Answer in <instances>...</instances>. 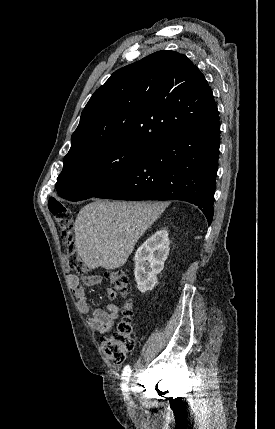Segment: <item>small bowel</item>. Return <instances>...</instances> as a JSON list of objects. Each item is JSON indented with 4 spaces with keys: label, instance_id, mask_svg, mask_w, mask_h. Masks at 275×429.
I'll use <instances>...</instances> for the list:
<instances>
[{
    "label": "small bowel",
    "instance_id": "obj_1",
    "mask_svg": "<svg viewBox=\"0 0 275 429\" xmlns=\"http://www.w3.org/2000/svg\"><path fill=\"white\" fill-rule=\"evenodd\" d=\"M68 283L77 300L79 310L84 314L90 313L91 307L86 298L85 287L101 284L102 278L98 275L79 278L75 274H69ZM107 296L113 303L109 304L106 310L94 309L91 316L87 318V323L90 328L99 333L108 332L118 317L119 308L116 302L117 293L112 289H108Z\"/></svg>",
    "mask_w": 275,
    "mask_h": 429
}]
</instances>
